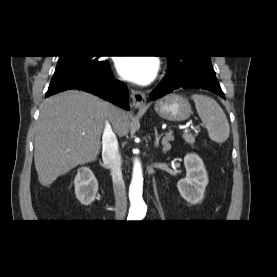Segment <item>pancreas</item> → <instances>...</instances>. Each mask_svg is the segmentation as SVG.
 Instances as JSON below:
<instances>
[{
    "instance_id": "cf45deb5",
    "label": "pancreas",
    "mask_w": 277,
    "mask_h": 277,
    "mask_svg": "<svg viewBox=\"0 0 277 277\" xmlns=\"http://www.w3.org/2000/svg\"><path fill=\"white\" fill-rule=\"evenodd\" d=\"M183 139L186 143L193 145L195 143V137L191 133L183 134Z\"/></svg>"
}]
</instances>
